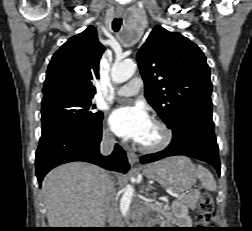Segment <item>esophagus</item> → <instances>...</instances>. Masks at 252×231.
Masks as SVG:
<instances>
[{
  "instance_id": "esophagus-1",
  "label": "esophagus",
  "mask_w": 252,
  "mask_h": 231,
  "mask_svg": "<svg viewBox=\"0 0 252 231\" xmlns=\"http://www.w3.org/2000/svg\"><path fill=\"white\" fill-rule=\"evenodd\" d=\"M117 16L118 17L122 16V12H118ZM127 158H128L129 163L132 165L138 161V156L134 152H128Z\"/></svg>"
}]
</instances>
